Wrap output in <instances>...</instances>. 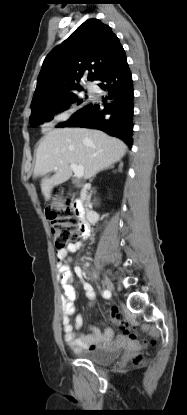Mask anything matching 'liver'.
I'll use <instances>...</instances> for the list:
<instances>
[{
  "mask_svg": "<svg viewBox=\"0 0 187 415\" xmlns=\"http://www.w3.org/2000/svg\"><path fill=\"white\" fill-rule=\"evenodd\" d=\"M126 150L123 141L99 130L53 129L39 143L33 177L44 176L57 167L52 177L41 180V191L48 201L53 187L72 176L71 164L82 165L84 178L89 179L119 161Z\"/></svg>",
  "mask_w": 187,
  "mask_h": 415,
  "instance_id": "1",
  "label": "liver"
}]
</instances>
